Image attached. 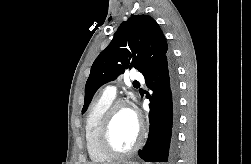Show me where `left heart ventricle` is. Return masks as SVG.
Returning <instances> with one entry per match:
<instances>
[{
	"label": "left heart ventricle",
	"instance_id": "left-heart-ventricle-1",
	"mask_svg": "<svg viewBox=\"0 0 251 164\" xmlns=\"http://www.w3.org/2000/svg\"><path fill=\"white\" fill-rule=\"evenodd\" d=\"M138 137V122L130 108H120L113 120L110 140L119 151L128 150Z\"/></svg>",
	"mask_w": 251,
	"mask_h": 164
}]
</instances>
